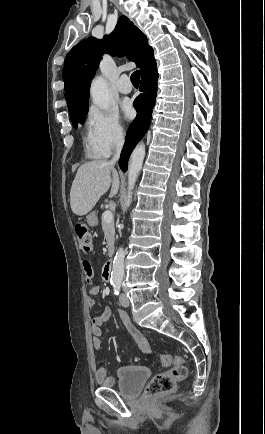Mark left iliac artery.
<instances>
[{
  "instance_id": "44dca946",
  "label": "left iliac artery",
  "mask_w": 265,
  "mask_h": 434,
  "mask_svg": "<svg viewBox=\"0 0 265 434\" xmlns=\"http://www.w3.org/2000/svg\"><path fill=\"white\" fill-rule=\"evenodd\" d=\"M113 287H114V294H115L116 296H118V295H119V291H120V287H121V283H120V282H116V283L113 285Z\"/></svg>"
}]
</instances>
